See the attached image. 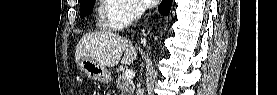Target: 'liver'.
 <instances>
[{
  "mask_svg": "<svg viewBox=\"0 0 277 95\" xmlns=\"http://www.w3.org/2000/svg\"><path fill=\"white\" fill-rule=\"evenodd\" d=\"M124 53V56L122 57ZM81 58H91L105 67L119 63L130 65L137 58V52L126 38L108 31L85 34L78 42L75 62Z\"/></svg>",
  "mask_w": 277,
  "mask_h": 95,
  "instance_id": "liver-1",
  "label": "liver"
}]
</instances>
